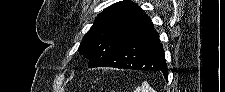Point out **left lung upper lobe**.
Wrapping results in <instances>:
<instances>
[{
	"label": "left lung upper lobe",
	"instance_id": "obj_1",
	"mask_svg": "<svg viewBox=\"0 0 225 92\" xmlns=\"http://www.w3.org/2000/svg\"><path fill=\"white\" fill-rule=\"evenodd\" d=\"M150 21L136 3L117 2L96 17L79 51L89 59L90 68L97 67L137 36Z\"/></svg>",
	"mask_w": 225,
	"mask_h": 92
}]
</instances>
